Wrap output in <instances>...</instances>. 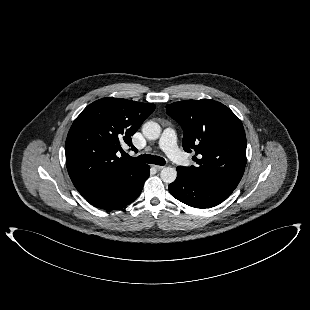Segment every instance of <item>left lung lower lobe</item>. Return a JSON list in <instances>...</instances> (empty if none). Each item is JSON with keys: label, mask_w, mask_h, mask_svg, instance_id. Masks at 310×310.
Here are the masks:
<instances>
[{"label": "left lung lower lobe", "mask_w": 310, "mask_h": 310, "mask_svg": "<svg viewBox=\"0 0 310 310\" xmlns=\"http://www.w3.org/2000/svg\"><path fill=\"white\" fill-rule=\"evenodd\" d=\"M177 178L169 191L177 200L195 208H211L228 198L232 189L198 177L177 167Z\"/></svg>", "instance_id": "1"}]
</instances>
